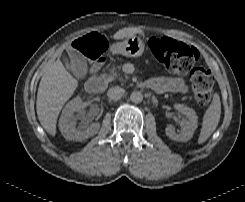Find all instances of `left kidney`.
<instances>
[{
  "mask_svg": "<svg viewBox=\"0 0 245 202\" xmlns=\"http://www.w3.org/2000/svg\"><path fill=\"white\" fill-rule=\"evenodd\" d=\"M175 108L188 117V121L181 123V131L176 133L172 126H167L165 129L166 135L174 141H189L198 125V116L192 108L187 106L176 104Z\"/></svg>",
  "mask_w": 245,
  "mask_h": 202,
  "instance_id": "obj_1",
  "label": "left kidney"
}]
</instances>
